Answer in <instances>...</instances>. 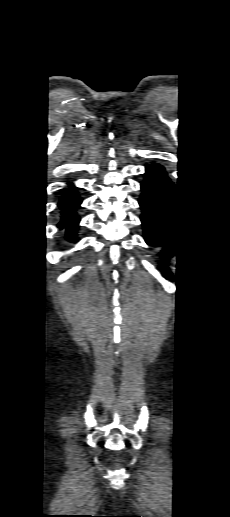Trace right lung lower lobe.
<instances>
[{"instance_id":"98d812e1","label":"right lung lower lobe","mask_w":230,"mask_h":517,"mask_svg":"<svg viewBox=\"0 0 230 517\" xmlns=\"http://www.w3.org/2000/svg\"><path fill=\"white\" fill-rule=\"evenodd\" d=\"M72 187V184L69 183ZM82 199L74 194L66 192L60 199L58 206L62 211L61 221L58 227L66 229V237L68 240H72L74 231L78 228L80 218L76 215V209L81 204Z\"/></svg>"}]
</instances>
